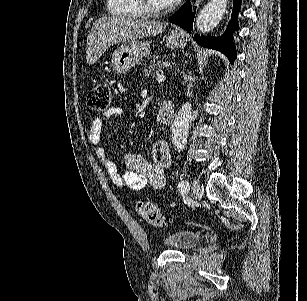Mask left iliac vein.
I'll return each mask as SVG.
<instances>
[{"label":"left iliac vein","instance_id":"4c4485c4","mask_svg":"<svg viewBox=\"0 0 307 301\" xmlns=\"http://www.w3.org/2000/svg\"><path fill=\"white\" fill-rule=\"evenodd\" d=\"M191 192H192V199L193 200H198L200 198V196H201V187H200V185L196 181L193 182V186H192Z\"/></svg>","mask_w":307,"mask_h":301}]
</instances>
